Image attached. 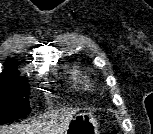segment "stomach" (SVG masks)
<instances>
[{"label": "stomach", "instance_id": "0dacf381", "mask_svg": "<svg viewBox=\"0 0 153 134\" xmlns=\"http://www.w3.org/2000/svg\"><path fill=\"white\" fill-rule=\"evenodd\" d=\"M64 134H99L98 123L89 113H76Z\"/></svg>", "mask_w": 153, "mask_h": 134}]
</instances>
